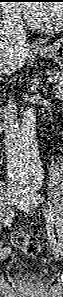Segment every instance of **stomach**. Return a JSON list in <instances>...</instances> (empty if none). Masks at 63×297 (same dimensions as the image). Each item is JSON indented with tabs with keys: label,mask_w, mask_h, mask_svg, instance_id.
I'll use <instances>...</instances> for the list:
<instances>
[{
	"label": "stomach",
	"mask_w": 63,
	"mask_h": 297,
	"mask_svg": "<svg viewBox=\"0 0 63 297\" xmlns=\"http://www.w3.org/2000/svg\"><path fill=\"white\" fill-rule=\"evenodd\" d=\"M35 52L42 57L52 59L60 67H63V40H59L52 46L36 49Z\"/></svg>",
	"instance_id": "0dacf381"
}]
</instances>
